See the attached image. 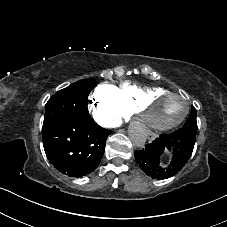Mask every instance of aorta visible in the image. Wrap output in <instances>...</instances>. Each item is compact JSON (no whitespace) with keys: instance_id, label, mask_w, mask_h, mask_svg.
<instances>
[{"instance_id":"obj_1","label":"aorta","mask_w":227,"mask_h":227,"mask_svg":"<svg viewBox=\"0 0 227 227\" xmlns=\"http://www.w3.org/2000/svg\"><path fill=\"white\" fill-rule=\"evenodd\" d=\"M131 141L137 148H143L146 142V136L141 126H134L131 130Z\"/></svg>"}]
</instances>
